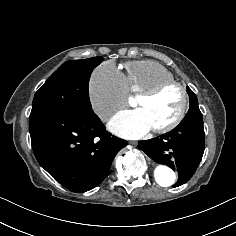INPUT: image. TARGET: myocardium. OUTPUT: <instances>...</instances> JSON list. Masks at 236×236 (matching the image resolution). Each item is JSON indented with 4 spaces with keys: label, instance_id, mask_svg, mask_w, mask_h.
<instances>
[{
    "label": "myocardium",
    "instance_id": "1",
    "mask_svg": "<svg viewBox=\"0 0 236 236\" xmlns=\"http://www.w3.org/2000/svg\"><path fill=\"white\" fill-rule=\"evenodd\" d=\"M170 88H176L180 92L181 98H182L181 108L177 116L168 124L159 128L151 129L152 132H154L155 134L161 135V134L169 133L184 121L187 115L188 109H189V104H190L189 92L183 84L175 80H171V81L161 82L153 86L149 90L139 94L138 96L139 99L147 101V100H151L157 97L158 95H160L161 93H163L164 91Z\"/></svg>",
    "mask_w": 236,
    "mask_h": 236
}]
</instances>
